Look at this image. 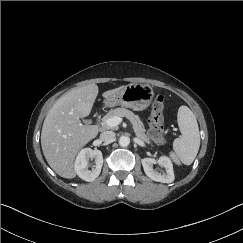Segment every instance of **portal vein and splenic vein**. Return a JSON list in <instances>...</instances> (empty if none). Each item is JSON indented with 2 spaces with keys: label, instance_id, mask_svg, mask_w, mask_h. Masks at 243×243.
Returning <instances> with one entry per match:
<instances>
[{
  "label": "portal vein and splenic vein",
  "instance_id": "18ae733b",
  "mask_svg": "<svg viewBox=\"0 0 243 243\" xmlns=\"http://www.w3.org/2000/svg\"><path fill=\"white\" fill-rule=\"evenodd\" d=\"M122 122V118L114 116L105 120V124L109 127H116Z\"/></svg>",
  "mask_w": 243,
  "mask_h": 243
}]
</instances>
